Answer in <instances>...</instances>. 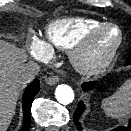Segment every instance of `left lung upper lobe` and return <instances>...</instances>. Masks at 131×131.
<instances>
[{
	"label": "left lung upper lobe",
	"mask_w": 131,
	"mask_h": 131,
	"mask_svg": "<svg viewBox=\"0 0 131 131\" xmlns=\"http://www.w3.org/2000/svg\"><path fill=\"white\" fill-rule=\"evenodd\" d=\"M131 64V53H130V55H129V57H128V60H127V62H126V65H130Z\"/></svg>",
	"instance_id": "5c2ea615"
}]
</instances>
